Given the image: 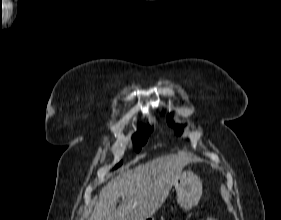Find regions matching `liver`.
<instances>
[{
	"label": "liver",
	"mask_w": 281,
	"mask_h": 220,
	"mask_svg": "<svg viewBox=\"0 0 281 220\" xmlns=\"http://www.w3.org/2000/svg\"><path fill=\"white\" fill-rule=\"evenodd\" d=\"M192 161L185 153L165 155L111 179L100 191L89 220H146L164 204L175 179ZM122 202L116 208L117 201Z\"/></svg>",
	"instance_id": "obj_1"
}]
</instances>
